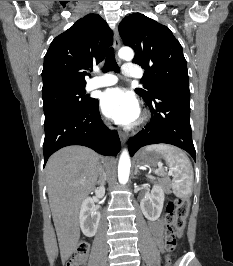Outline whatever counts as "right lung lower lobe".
<instances>
[{
    "instance_id": "98d812e1",
    "label": "right lung lower lobe",
    "mask_w": 233,
    "mask_h": 266,
    "mask_svg": "<svg viewBox=\"0 0 233 266\" xmlns=\"http://www.w3.org/2000/svg\"><path fill=\"white\" fill-rule=\"evenodd\" d=\"M44 165L62 147L83 145L102 155H117L121 144L118 133L106 129L99 114L98 100L86 109L57 114L44 124Z\"/></svg>"
}]
</instances>
